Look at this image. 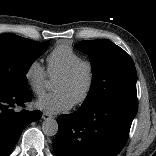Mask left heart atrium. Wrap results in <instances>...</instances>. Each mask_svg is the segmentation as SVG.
Masks as SVG:
<instances>
[{"label": "left heart atrium", "instance_id": "39dd6f15", "mask_svg": "<svg viewBox=\"0 0 156 156\" xmlns=\"http://www.w3.org/2000/svg\"><path fill=\"white\" fill-rule=\"evenodd\" d=\"M73 101L63 92L46 94L35 103L36 107L49 114L68 111L73 106Z\"/></svg>", "mask_w": 156, "mask_h": 156}]
</instances>
